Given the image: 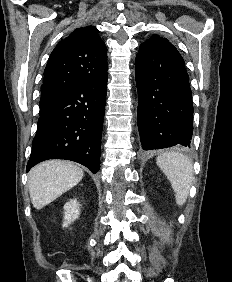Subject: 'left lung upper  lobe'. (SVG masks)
<instances>
[{
  "mask_svg": "<svg viewBox=\"0 0 232 282\" xmlns=\"http://www.w3.org/2000/svg\"><path fill=\"white\" fill-rule=\"evenodd\" d=\"M160 39H163L162 37L158 35H153L150 39H148L146 42H153V41H158Z\"/></svg>",
  "mask_w": 232,
  "mask_h": 282,
  "instance_id": "1",
  "label": "left lung upper lobe"
}]
</instances>
